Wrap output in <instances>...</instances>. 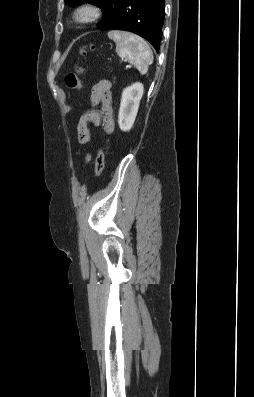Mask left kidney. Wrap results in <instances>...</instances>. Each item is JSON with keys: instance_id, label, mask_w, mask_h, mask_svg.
<instances>
[{"instance_id": "left-kidney-1", "label": "left kidney", "mask_w": 254, "mask_h": 397, "mask_svg": "<svg viewBox=\"0 0 254 397\" xmlns=\"http://www.w3.org/2000/svg\"><path fill=\"white\" fill-rule=\"evenodd\" d=\"M143 92L144 86L139 82L123 90L118 115V124L123 132H127L132 128Z\"/></svg>"}]
</instances>
